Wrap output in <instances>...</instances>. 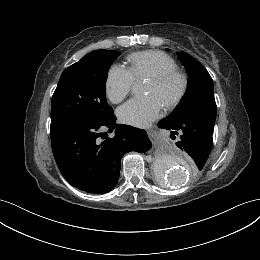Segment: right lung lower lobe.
<instances>
[{
    "label": "right lung lower lobe",
    "instance_id": "obj_1",
    "mask_svg": "<svg viewBox=\"0 0 260 260\" xmlns=\"http://www.w3.org/2000/svg\"><path fill=\"white\" fill-rule=\"evenodd\" d=\"M115 130L113 138L104 137ZM52 151L64 178L88 193L104 194L118 182L121 158L129 151L146 152L151 142L142 129L117 125L111 114L99 123H64L50 128ZM105 139L104 141H101Z\"/></svg>",
    "mask_w": 260,
    "mask_h": 260
}]
</instances>
